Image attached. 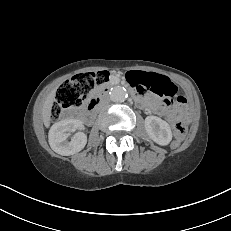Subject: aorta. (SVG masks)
I'll use <instances>...</instances> for the list:
<instances>
[{
  "label": "aorta",
  "mask_w": 231,
  "mask_h": 231,
  "mask_svg": "<svg viewBox=\"0 0 231 231\" xmlns=\"http://www.w3.org/2000/svg\"><path fill=\"white\" fill-rule=\"evenodd\" d=\"M127 96L126 90L121 86H116L110 91V98L113 102H124Z\"/></svg>",
  "instance_id": "aorta-1"
}]
</instances>
